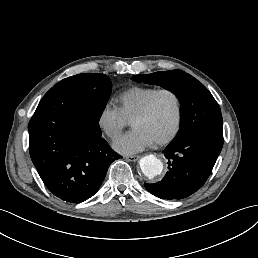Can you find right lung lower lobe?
I'll return each mask as SVG.
<instances>
[{
    "label": "right lung lower lobe",
    "instance_id": "98d812e1",
    "mask_svg": "<svg viewBox=\"0 0 258 258\" xmlns=\"http://www.w3.org/2000/svg\"><path fill=\"white\" fill-rule=\"evenodd\" d=\"M29 152L42 181L58 198L80 203L101 186L110 164L122 156L101 137L89 114L84 88L48 91L28 124Z\"/></svg>",
    "mask_w": 258,
    "mask_h": 258
}]
</instances>
